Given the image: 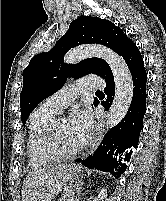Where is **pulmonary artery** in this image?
I'll return each mask as SVG.
<instances>
[{
  "instance_id": "pulmonary-artery-1",
  "label": "pulmonary artery",
  "mask_w": 166,
  "mask_h": 201,
  "mask_svg": "<svg viewBox=\"0 0 166 201\" xmlns=\"http://www.w3.org/2000/svg\"><path fill=\"white\" fill-rule=\"evenodd\" d=\"M104 86L105 83L102 79L98 77H87L60 89L48 97L42 106L58 113L68 106L80 92L91 89H103Z\"/></svg>"
}]
</instances>
